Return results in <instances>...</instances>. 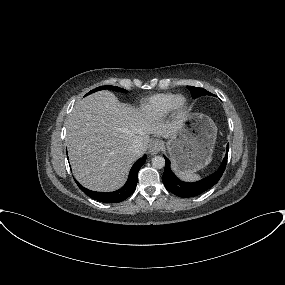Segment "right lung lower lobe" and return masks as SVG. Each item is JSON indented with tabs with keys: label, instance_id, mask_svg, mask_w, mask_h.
<instances>
[{
	"label": "right lung lower lobe",
	"instance_id": "1",
	"mask_svg": "<svg viewBox=\"0 0 285 285\" xmlns=\"http://www.w3.org/2000/svg\"><path fill=\"white\" fill-rule=\"evenodd\" d=\"M145 161H146V155L137 160L130 170L129 177L125 185L121 189L114 192L104 193V192L91 191L81 186L77 181L76 183L79 186V188L92 199H95L103 203H118L127 199L135 191L138 180V171L140 170L141 166L145 163Z\"/></svg>",
	"mask_w": 285,
	"mask_h": 285
}]
</instances>
